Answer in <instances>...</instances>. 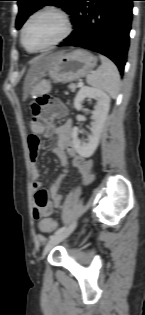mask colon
I'll return each mask as SVG.
<instances>
[{
	"label": "colon",
	"mask_w": 145,
	"mask_h": 315,
	"mask_svg": "<svg viewBox=\"0 0 145 315\" xmlns=\"http://www.w3.org/2000/svg\"><path fill=\"white\" fill-rule=\"evenodd\" d=\"M64 107L61 103L54 101L48 95L36 99L31 105V118L29 125L32 129L36 128L40 122H46L61 116ZM57 223L51 218H43L39 227L44 232H52Z\"/></svg>",
	"instance_id": "5ec220e1"
}]
</instances>
